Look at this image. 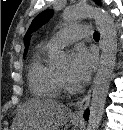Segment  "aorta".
Segmentation results:
<instances>
[{"label": "aorta", "instance_id": "obj_1", "mask_svg": "<svg viewBox=\"0 0 123 130\" xmlns=\"http://www.w3.org/2000/svg\"><path fill=\"white\" fill-rule=\"evenodd\" d=\"M62 18L65 23L77 19L94 18L100 26L102 54L100 58V66L96 73L92 88V99L87 124V130H97L102 120L106 97L116 60L118 40L114 19L104 9L92 7L86 3H79L71 7H66L62 13ZM65 60V53L60 51L55 57L54 62L57 65H61Z\"/></svg>", "mask_w": 123, "mask_h": 130}]
</instances>
